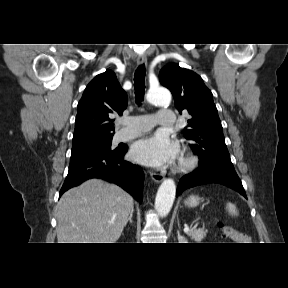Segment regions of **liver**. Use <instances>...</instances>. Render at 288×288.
Returning <instances> with one entry per match:
<instances>
[{"mask_svg": "<svg viewBox=\"0 0 288 288\" xmlns=\"http://www.w3.org/2000/svg\"><path fill=\"white\" fill-rule=\"evenodd\" d=\"M132 209L133 198L117 185L87 180L58 202V243H115Z\"/></svg>", "mask_w": 288, "mask_h": 288, "instance_id": "6515ba94", "label": "liver"}]
</instances>
